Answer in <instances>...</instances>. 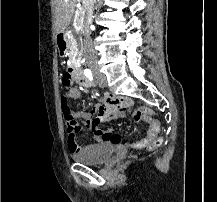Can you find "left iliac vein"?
Masks as SVG:
<instances>
[{
    "mask_svg": "<svg viewBox=\"0 0 217 202\" xmlns=\"http://www.w3.org/2000/svg\"><path fill=\"white\" fill-rule=\"evenodd\" d=\"M106 85V82L104 81L103 77L102 76H98V86L99 87H105Z\"/></svg>",
    "mask_w": 217,
    "mask_h": 202,
    "instance_id": "obj_1",
    "label": "left iliac vein"
}]
</instances>
